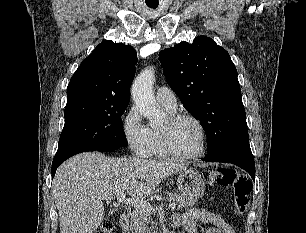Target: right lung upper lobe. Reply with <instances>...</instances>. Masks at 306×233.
I'll list each match as a JSON object with an SVG mask.
<instances>
[{"instance_id":"1","label":"right lung upper lobe","mask_w":306,"mask_h":233,"mask_svg":"<svg viewBox=\"0 0 306 233\" xmlns=\"http://www.w3.org/2000/svg\"><path fill=\"white\" fill-rule=\"evenodd\" d=\"M137 64L136 50L110 40L80 64L67 87V103L81 99L129 103Z\"/></svg>"}]
</instances>
